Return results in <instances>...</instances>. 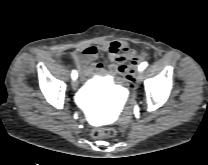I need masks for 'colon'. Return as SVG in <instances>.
I'll return each mask as SVG.
<instances>
[{
  "mask_svg": "<svg viewBox=\"0 0 208 165\" xmlns=\"http://www.w3.org/2000/svg\"><path fill=\"white\" fill-rule=\"evenodd\" d=\"M140 63L141 60L139 58H134L132 62H130L125 67L121 68V72L124 75V78L122 79L123 84L127 86L130 90H135L137 88V79L134 76V70L132 67L134 65L138 66ZM115 135H116V130L113 128H95L92 131V137L95 139L110 138V137H114Z\"/></svg>",
  "mask_w": 208,
  "mask_h": 165,
  "instance_id": "5ec220e1",
  "label": "colon"
}]
</instances>
